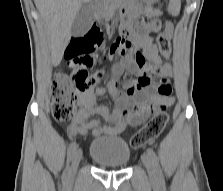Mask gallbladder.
Segmentation results:
<instances>
[{"label": "gallbladder", "mask_w": 223, "mask_h": 191, "mask_svg": "<svg viewBox=\"0 0 223 191\" xmlns=\"http://www.w3.org/2000/svg\"><path fill=\"white\" fill-rule=\"evenodd\" d=\"M93 23L92 9L87 5H82L77 12L72 27L71 34L75 37L83 36L88 32Z\"/></svg>", "instance_id": "gallbladder-1"}]
</instances>
